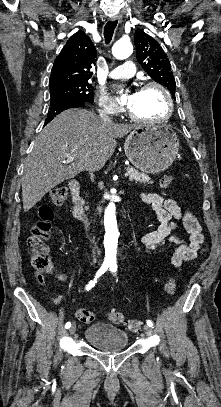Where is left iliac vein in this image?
<instances>
[{"mask_svg": "<svg viewBox=\"0 0 221 407\" xmlns=\"http://www.w3.org/2000/svg\"><path fill=\"white\" fill-rule=\"evenodd\" d=\"M144 330H145V333H146L147 335H151L152 332H153L152 328H151L150 326H148V325H145V326H144Z\"/></svg>", "mask_w": 221, "mask_h": 407, "instance_id": "obj_1", "label": "left iliac vein"}]
</instances>
